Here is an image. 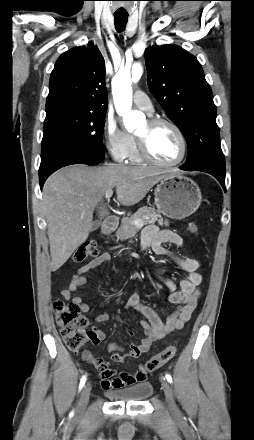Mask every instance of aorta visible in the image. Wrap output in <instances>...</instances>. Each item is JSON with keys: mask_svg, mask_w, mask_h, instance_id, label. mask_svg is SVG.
Segmentation results:
<instances>
[{"mask_svg": "<svg viewBox=\"0 0 254 440\" xmlns=\"http://www.w3.org/2000/svg\"><path fill=\"white\" fill-rule=\"evenodd\" d=\"M143 74V67L136 63L132 68L125 66L112 79V93L117 113L123 117V123L128 132H133L142 120V114L132 111V82L139 81Z\"/></svg>", "mask_w": 254, "mask_h": 440, "instance_id": "762f6f07", "label": "aorta"}]
</instances>
